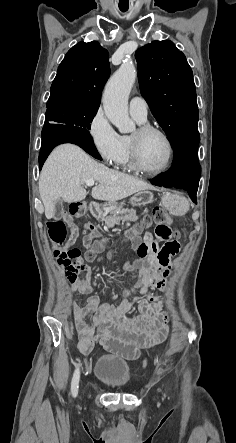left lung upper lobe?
I'll return each instance as SVG.
<instances>
[{
  "label": "left lung upper lobe",
  "instance_id": "obj_1",
  "mask_svg": "<svg viewBox=\"0 0 236 443\" xmlns=\"http://www.w3.org/2000/svg\"><path fill=\"white\" fill-rule=\"evenodd\" d=\"M135 57L141 94L173 149L199 136L195 84L185 55L163 40L139 48Z\"/></svg>",
  "mask_w": 236,
  "mask_h": 443
}]
</instances>
